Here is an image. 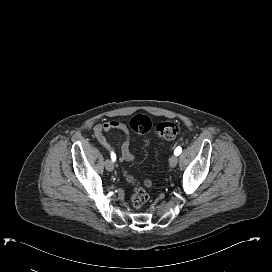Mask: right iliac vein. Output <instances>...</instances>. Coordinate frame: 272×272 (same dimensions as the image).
<instances>
[{"mask_svg":"<svg viewBox=\"0 0 272 272\" xmlns=\"http://www.w3.org/2000/svg\"><path fill=\"white\" fill-rule=\"evenodd\" d=\"M105 167L108 171H113L114 170V164L112 163L111 160H106L105 161Z\"/></svg>","mask_w":272,"mask_h":272,"instance_id":"obj_1","label":"right iliac vein"}]
</instances>
